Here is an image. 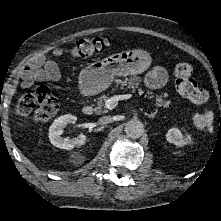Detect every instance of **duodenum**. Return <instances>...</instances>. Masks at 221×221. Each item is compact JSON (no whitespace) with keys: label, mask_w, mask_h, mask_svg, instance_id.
<instances>
[{"label":"duodenum","mask_w":221,"mask_h":221,"mask_svg":"<svg viewBox=\"0 0 221 221\" xmlns=\"http://www.w3.org/2000/svg\"><path fill=\"white\" fill-rule=\"evenodd\" d=\"M82 112H83L85 115H90V114H92V112H93V108H92V106H85V107L82 109Z\"/></svg>","instance_id":"obj_1"}]
</instances>
